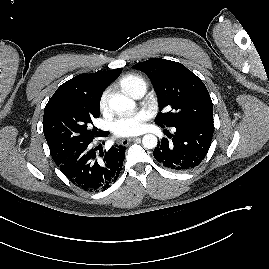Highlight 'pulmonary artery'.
Masks as SVG:
<instances>
[{
  "label": "pulmonary artery",
  "instance_id": "1",
  "mask_svg": "<svg viewBox=\"0 0 269 269\" xmlns=\"http://www.w3.org/2000/svg\"><path fill=\"white\" fill-rule=\"evenodd\" d=\"M146 91V87L145 86H140L139 88L136 89V91L133 94V98H140L144 95Z\"/></svg>",
  "mask_w": 269,
  "mask_h": 269
}]
</instances>
